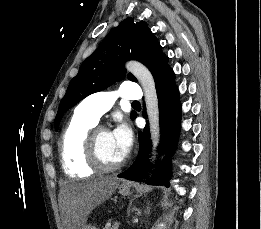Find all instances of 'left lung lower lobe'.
I'll return each mask as SVG.
<instances>
[{
  "instance_id": "0a47b994",
  "label": "left lung lower lobe",
  "mask_w": 261,
  "mask_h": 229,
  "mask_svg": "<svg viewBox=\"0 0 261 229\" xmlns=\"http://www.w3.org/2000/svg\"><path fill=\"white\" fill-rule=\"evenodd\" d=\"M156 91L159 101L160 126L162 139L159 151L165 152V160L155 164L156 172L151 177H147V154L150 152V141L146 128L139 133V153L135 162L118 177L132 181L141 182L145 180L147 184L169 185L171 178L170 156L174 153L179 138L181 105L179 102V92L175 85V74L172 69L162 71L155 78ZM145 116V112H143ZM136 117V116H135ZM165 149V150H164Z\"/></svg>"
}]
</instances>
